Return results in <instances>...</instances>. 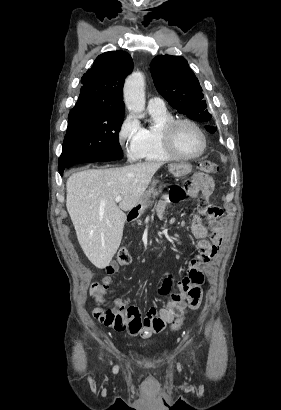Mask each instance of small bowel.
<instances>
[{
	"mask_svg": "<svg viewBox=\"0 0 281 410\" xmlns=\"http://www.w3.org/2000/svg\"><path fill=\"white\" fill-rule=\"evenodd\" d=\"M214 189L213 179L207 175L197 173L192 181L191 194L201 193L202 196L209 198ZM170 200L164 195L157 205V214L163 218ZM218 215L207 214L202 218L199 214H193L191 217V232L200 238L199 253L190 261L188 271L179 283V291L170 294L172 287V275L169 274L163 280L158 288L160 296H168L167 305L164 308L152 307L147 315L142 319L136 307L128 306V303L122 299L115 300L114 311L126 314L130 310L136 311V315L130 318V322H137L136 328H128L131 336L141 335L144 338L150 337L154 333L161 332L165 325L182 311L187 303L191 307V301L194 296H198L201 301V285L204 282V273L202 267L207 265L213 259L220 248L223 239V229L217 219ZM107 276L103 283L111 284V276L116 274L119 266L116 263H110L105 268ZM193 308V307H192ZM100 308H95L96 313Z\"/></svg>",
	"mask_w": 281,
	"mask_h": 410,
	"instance_id": "small-bowel-1",
	"label": "small bowel"
}]
</instances>
